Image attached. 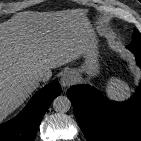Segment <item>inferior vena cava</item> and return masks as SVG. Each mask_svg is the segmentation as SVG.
I'll use <instances>...</instances> for the list:
<instances>
[{"label": "inferior vena cava", "instance_id": "602c4592", "mask_svg": "<svg viewBox=\"0 0 141 141\" xmlns=\"http://www.w3.org/2000/svg\"><path fill=\"white\" fill-rule=\"evenodd\" d=\"M34 76L38 81H47L51 77V72L45 70H38L35 72Z\"/></svg>", "mask_w": 141, "mask_h": 141}]
</instances>
